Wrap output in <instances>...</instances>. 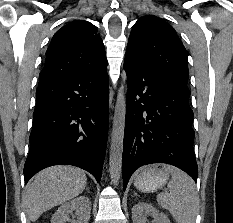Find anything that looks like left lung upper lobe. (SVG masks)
<instances>
[{
    "label": "left lung upper lobe",
    "mask_w": 233,
    "mask_h": 223,
    "mask_svg": "<svg viewBox=\"0 0 233 223\" xmlns=\"http://www.w3.org/2000/svg\"><path fill=\"white\" fill-rule=\"evenodd\" d=\"M126 52L163 77L187 85L188 53L174 28L160 18H140L132 28Z\"/></svg>",
    "instance_id": "obj_1"
}]
</instances>
